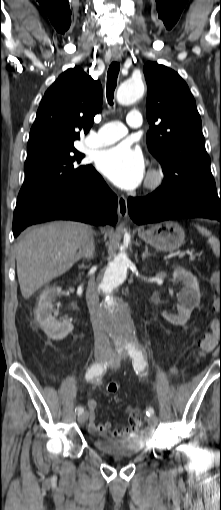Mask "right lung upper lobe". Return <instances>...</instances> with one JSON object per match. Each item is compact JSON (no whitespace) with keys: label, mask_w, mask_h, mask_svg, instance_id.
I'll return each mask as SVG.
<instances>
[{"label":"right lung upper lobe","mask_w":221,"mask_h":510,"mask_svg":"<svg viewBox=\"0 0 221 510\" xmlns=\"http://www.w3.org/2000/svg\"><path fill=\"white\" fill-rule=\"evenodd\" d=\"M102 105V87L81 68L66 70L46 91L30 130L27 154L66 148L87 133Z\"/></svg>","instance_id":"cb5924a9"}]
</instances>
